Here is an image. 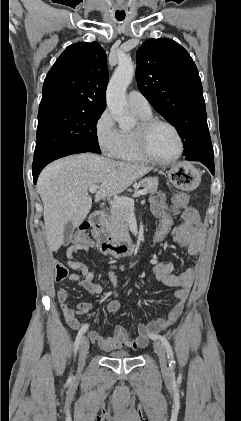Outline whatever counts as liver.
Segmentation results:
<instances>
[{
    "label": "liver",
    "instance_id": "6515ba94",
    "mask_svg": "<svg viewBox=\"0 0 241 421\" xmlns=\"http://www.w3.org/2000/svg\"><path fill=\"white\" fill-rule=\"evenodd\" d=\"M152 167L112 160L92 153L59 159L41 172L37 188L44 206L47 245L57 251L64 240V227L78 226L89 214L90 186L101 184L95 201L122 193Z\"/></svg>",
    "mask_w": 241,
    "mask_h": 421
}]
</instances>
